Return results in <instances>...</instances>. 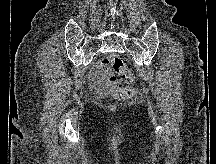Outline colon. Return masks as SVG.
Listing matches in <instances>:
<instances>
[{"mask_svg": "<svg viewBox=\"0 0 216 164\" xmlns=\"http://www.w3.org/2000/svg\"><path fill=\"white\" fill-rule=\"evenodd\" d=\"M110 66L113 73H108ZM104 78L108 81L113 94L120 100L131 99L135 95L133 74L118 55L104 57L100 62Z\"/></svg>", "mask_w": 216, "mask_h": 164, "instance_id": "1", "label": "colon"}]
</instances>
